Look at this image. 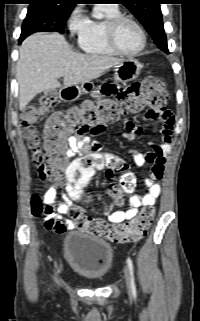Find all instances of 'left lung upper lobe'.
Masks as SVG:
<instances>
[{
	"mask_svg": "<svg viewBox=\"0 0 200 321\" xmlns=\"http://www.w3.org/2000/svg\"><path fill=\"white\" fill-rule=\"evenodd\" d=\"M140 21L159 49L167 51L160 4L162 0H120Z\"/></svg>",
	"mask_w": 200,
	"mask_h": 321,
	"instance_id": "5c2ea615",
	"label": "left lung upper lobe"
}]
</instances>
